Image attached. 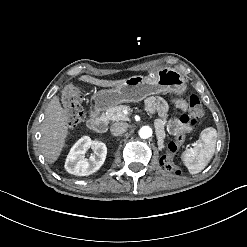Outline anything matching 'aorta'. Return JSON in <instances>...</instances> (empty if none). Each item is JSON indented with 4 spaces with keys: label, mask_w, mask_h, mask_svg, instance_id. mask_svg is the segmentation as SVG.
Masks as SVG:
<instances>
[{
    "label": "aorta",
    "mask_w": 247,
    "mask_h": 247,
    "mask_svg": "<svg viewBox=\"0 0 247 247\" xmlns=\"http://www.w3.org/2000/svg\"><path fill=\"white\" fill-rule=\"evenodd\" d=\"M139 136L143 139H147L152 136V129L149 126H143L139 130Z\"/></svg>",
    "instance_id": "1"
}]
</instances>
